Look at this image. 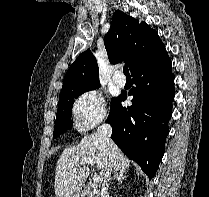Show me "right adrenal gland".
<instances>
[{"instance_id":"right-adrenal-gland-1","label":"right adrenal gland","mask_w":209,"mask_h":197,"mask_svg":"<svg viewBox=\"0 0 209 197\" xmlns=\"http://www.w3.org/2000/svg\"><path fill=\"white\" fill-rule=\"evenodd\" d=\"M126 176L124 175L123 171H115L112 180H117L118 182L122 183L125 180Z\"/></svg>"}]
</instances>
